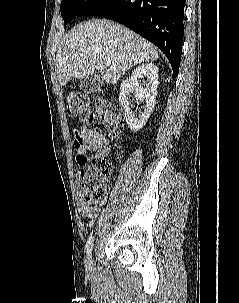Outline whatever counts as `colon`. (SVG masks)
<instances>
[{"label":"colon","instance_id":"colon-1","mask_svg":"<svg viewBox=\"0 0 239 303\" xmlns=\"http://www.w3.org/2000/svg\"><path fill=\"white\" fill-rule=\"evenodd\" d=\"M67 112L70 116L88 123H103L112 136L116 137L123 124V118L118 107L99 100L95 107L91 106L88 95L71 89L66 93ZM109 159H95L83 169L79 175L80 195L87 206H100L106 200L109 174L111 170Z\"/></svg>","mask_w":239,"mask_h":303}]
</instances>
